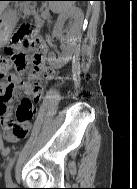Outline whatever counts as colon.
I'll return each mask as SVG.
<instances>
[{
	"mask_svg": "<svg viewBox=\"0 0 137 189\" xmlns=\"http://www.w3.org/2000/svg\"><path fill=\"white\" fill-rule=\"evenodd\" d=\"M25 48H32L35 51L31 63H28L26 60L23 52ZM45 51V43L39 35L35 34L28 26L19 27L6 46V56H0V86L9 82L10 74L14 66L19 71L28 70L32 75L39 73L38 65ZM50 72L47 68L44 74L48 75ZM35 111L36 109L32 104L25 99L17 108V117L22 119L26 116H31Z\"/></svg>",
	"mask_w": 137,
	"mask_h": 189,
	"instance_id": "5ec220e1",
	"label": "colon"
}]
</instances>
